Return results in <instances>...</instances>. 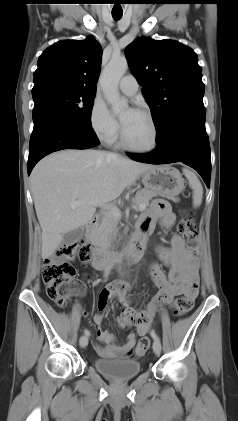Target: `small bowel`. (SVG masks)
<instances>
[{
	"instance_id": "c3829d8e",
	"label": "small bowel",
	"mask_w": 238,
	"mask_h": 421,
	"mask_svg": "<svg viewBox=\"0 0 238 421\" xmlns=\"http://www.w3.org/2000/svg\"><path fill=\"white\" fill-rule=\"evenodd\" d=\"M176 217L170 205L161 199L155 200L150 209L141 215L137 223V232L142 237L153 232L157 223L166 229L171 228ZM158 261L150 264V276L159 287V292L141 311L130 307V286L125 282H113L102 289L98 303V313L94 322L100 326L103 321L102 313L112 299H117L123 307L117 325L119 327L133 326L136 333H131L122 344H116L115 338L109 331L99 327L98 340L104 345L94 344L96 353L103 358L127 357L132 353L136 335H146L151 329L154 317L162 304L172 305L177 296L193 302L198 293L199 263L191 255L181 236L174 234L171 237L170 247L157 246ZM160 262L168 267L166 274ZM86 314V313H85ZM131 314H134L131 316Z\"/></svg>"
}]
</instances>
